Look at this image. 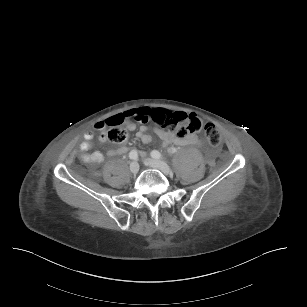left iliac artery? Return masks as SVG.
I'll return each mask as SVG.
<instances>
[{"mask_svg": "<svg viewBox=\"0 0 307 307\" xmlns=\"http://www.w3.org/2000/svg\"><path fill=\"white\" fill-rule=\"evenodd\" d=\"M174 152H175V151H174ZM151 157H152V158H155V159H160V158H162V155H161V153H160L159 151L153 150V151L151 152Z\"/></svg>", "mask_w": 307, "mask_h": 307, "instance_id": "1", "label": "left iliac artery"}]
</instances>
